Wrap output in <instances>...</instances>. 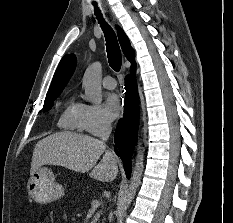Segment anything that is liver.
<instances>
[{
    "instance_id": "6515ba94",
    "label": "liver",
    "mask_w": 233,
    "mask_h": 223,
    "mask_svg": "<svg viewBox=\"0 0 233 223\" xmlns=\"http://www.w3.org/2000/svg\"><path fill=\"white\" fill-rule=\"evenodd\" d=\"M41 165H62L78 173L90 171V177L98 181H114L119 171L116 157L110 149H106L105 143L91 135L72 131H59L37 141L32 155L31 175Z\"/></svg>"
}]
</instances>
